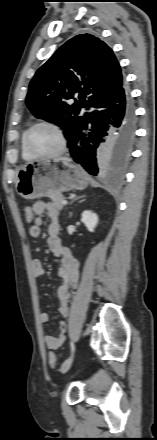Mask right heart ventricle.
<instances>
[{
  "mask_svg": "<svg viewBox=\"0 0 157 440\" xmlns=\"http://www.w3.org/2000/svg\"><path fill=\"white\" fill-rule=\"evenodd\" d=\"M25 134H26V131H24V133L22 134V137H21V154L24 159L31 160L34 158V156L27 150V148L25 146Z\"/></svg>",
  "mask_w": 157,
  "mask_h": 440,
  "instance_id": "1",
  "label": "right heart ventricle"
}]
</instances>
